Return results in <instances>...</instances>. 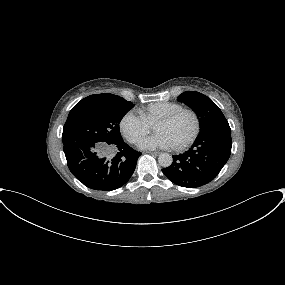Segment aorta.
I'll return each mask as SVG.
<instances>
[{
	"mask_svg": "<svg viewBox=\"0 0 285 285\" xmlns=\"http://www.w3.org/2000/svg\"><path fill=\"white\" fill-rule=\"evenodd\" d=\"M158 162L162 167H169L173 162V158L168 153H161L158 157Z\"/></svg>",
	"mask_w": 285,
	"mask_h": 285,
	"instance_id": "1",
	"label": "aorta"
}]
</instances>
